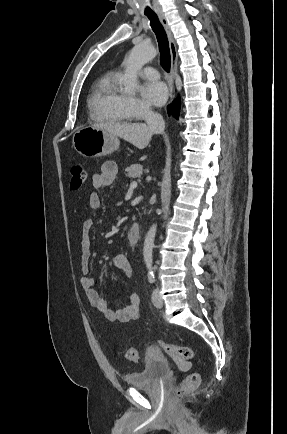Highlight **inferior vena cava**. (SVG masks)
Listing matches in <instances>:
<instances>
[{"label": "inferior vena cava", "instance_id": "inferior-vena-cava-1", "mask_svg": "<svg viewBox=\"0 0 287 434\" xmlns=\"http://www.w3.org/2000/svg\"><path fill=\"white\" fill-rule=\"evenodd\" d=\"M144 118L148 126L155 130L157 133L162 134L164 132L165 122L163 120V117L159 113L153 112L150 109H146L144 111Z\"/></svg>", "mask_w": 287, "mask_h": 434}]
</instances>
